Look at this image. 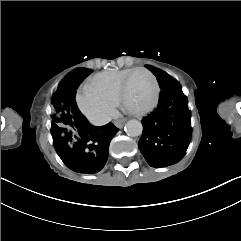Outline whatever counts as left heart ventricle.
I'll use <instances>...</instances> for the list:
<instances>
[{"label": "left heart ventricle", "mask_w": 241, "mask_h": 241, "mask_svg": "<svg viewBox=\"0 0 241 241\" xmlns=\"http://www.w3.org/2000/svg\"><path fill=\"white\" fill-rule=\"evenodd\" d=\"M125 104L131 111L143 110L152 101L154 91L145 73H138L124 83Z\"/></svg>", "instance_id": "obj_1"}]
</instances>
